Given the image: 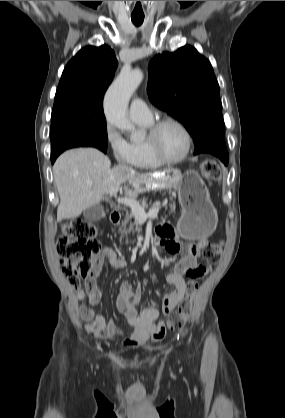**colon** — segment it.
<instances>
[{
	"mask_svg": "<svg viewBox=\"0 0 285 418\" xmlns=\"http://www.w3.org/2000/svg\"><path fill=\"white\" fill-rule=\"evenodd\" d=\"M203 170L209 181H219L223 176L222 168L212 160L204 164ZM56 243L64 274L71 285L81 287L91 273L89 258L100 249L96 240V227L81 219L71 220L63 225ZM223 250V241L216 240L208 243L202 254L206 261L215 262L221 257ZM197 287V277H194L188 283L186 297L178 310L168 314L166 326L157 325L160 333H165L166 330L179 331L186 324L193 311Z\"/></svg>",
	"mask_w": 285,
	"mask_h": 418,
	"instance_id": "1",
	"label": "colon"
}]
</instances>
